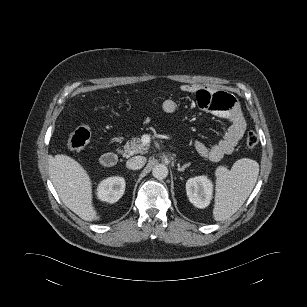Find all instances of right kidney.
<instances>
[{"label": "right kidney", "mask_w": 307, "mask_h": 307, "mask_svg": "<svg viewBox=\"0 0 307 307\" xmlns=\"http://www.w3.org/2000/svg\"><path fill=\"white\" fill-rule=\"evenodd\" d=\"M125 191L123 177H108L102 180L97 187V196L101 201L108 203L117 202Z\"/></svg>", "instance_id": "obj_1"}]
</instances>
